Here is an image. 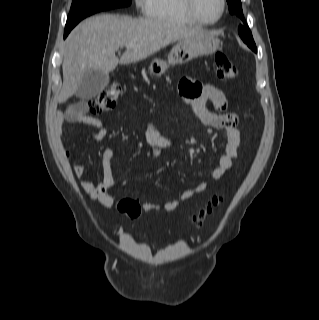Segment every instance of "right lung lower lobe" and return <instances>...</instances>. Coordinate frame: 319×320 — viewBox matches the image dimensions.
Here are the masks:
<instances>
[{
	"label": "right lung lower lobe",
	"instance_id": "98d812e1",
	"mask_svg": "<svg viewBox=\"0 0 319 320\" xmlns=\"http://www.w3.org/2000/svg\"><path fill=\"white\" fill-rule=\"evenodd\" d=\"M70 31H71V29L65 30V32H64V38H66V36L69 34Z\"/></svg>",
	"mask_w": 319,
	"mask_h": 320
}]
</instances>
